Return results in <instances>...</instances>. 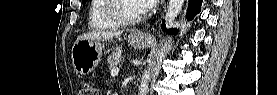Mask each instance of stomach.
Masks as SVG:
<instances>
[{"mask_svg": "<svg viewBox=\"0 0 277 95\" xmlns=\"http://www.w3.org/2000/svg\"><path fill=\"white\" fill-rule=\"evenodd\" d=\"M130 44L135 48H145L149 37L140 31L132 30L128 35ZM102 45L100 41L77 39L71 50L72 65L77 74L87 75L101 61Z\"/></svg>", "mask_w": 277, "mask_h": 95, "instance_id": "obj_1", "label": "stomach"}]
</instances>
